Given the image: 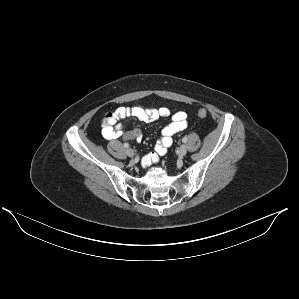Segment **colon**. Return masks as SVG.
<instances>
[{"label":"colon","mask_w":299,"mask_h":299,"mask_svg":"<svg viewBox=\"0 0 299 299\" xmlns=\"http://www.w3.org/2000/svg\"><path fill=\"white\" fill-rule=\"evenodd\" d=\"M198 116H199L200 118H204V117H206V116H207V111H206L205 109H200V110L198 111ZM103 125H104V128H109V127H111V126L113 125V119H112V116H111V115H108V116L105 118Z\"/></svg>","instance_id":"colon-1"}]
</instances>
